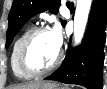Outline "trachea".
Returning <instances> with one entry per match:
<instances>
[{"mask_svg": "<svg viewBox=\"0 0 107 89\" xmlns=\"http://www.w3.org/2000/svg\"><path fill=\"white\" fill-rule=\"evenodd\" d=\"M67 6H73V3L68 2V3H67Z\"/></svg>", "mask_w": 107, "mask_h": 89, "instance_id": "obj_1", "label": "trachea"}]
</instances>
